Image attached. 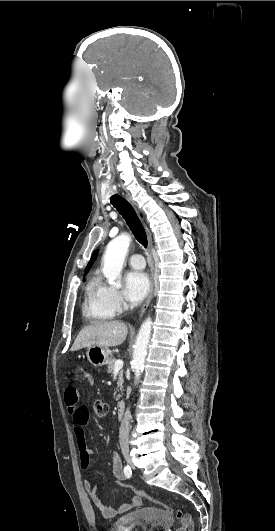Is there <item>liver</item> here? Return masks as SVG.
Wrapping results in <instances>:
<instances>
[{"label":"liver","instance_id":"1","mask_svg":"<svg viewBox=\"0 0 275 531\" xmlns=\"http://www.w3.org/2000/svg\"><path fill=\"white\" fill-rule=\"evenodd\" d=\"M127 325L119 321H96L84 327L76 337L70 351H79L91 345L117 347L126 339Z\"/></svg>","mask_w":275,"mask_h":531}]
</instances>
